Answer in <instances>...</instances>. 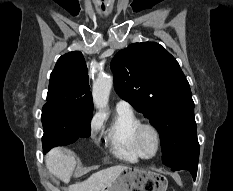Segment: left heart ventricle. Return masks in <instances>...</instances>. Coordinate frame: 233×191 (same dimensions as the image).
I'll return each instance as SVG.
<instances>
[{
  "instance_id": "left-heart-ventricle-1",
  "label": "left heart ventricle",
  "mask_w": 233,
  "mask_h": 191,
  "mask_svg": "<svg viewBox=\"0 0 233 191\" xmlns=\"http://www.w3.org/2000/svg\"><path fill=\"white\" fill-rule=\"evenodd\" d=\"M143 145L147 152L153 153L156 149V140L154 134L150 130L143 133Z\"/></svg>"
}]
</instances>
